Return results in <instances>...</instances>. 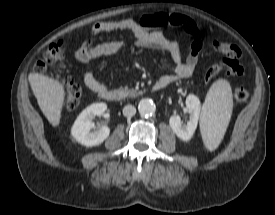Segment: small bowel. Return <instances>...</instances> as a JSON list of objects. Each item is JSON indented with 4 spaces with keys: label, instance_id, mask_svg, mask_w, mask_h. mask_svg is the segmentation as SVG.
<instances>
[{
    "label": "small bowel",
    "instance_id": "small-bowel-1",
    "mask_svg": "<svg viewBox=\"0 0 275 215\" xmlns=\"http://www.w3.org/2000/svg\"><path fill=\"white\" fill-rule=\"evenodd\" d=\"M166 15L162 13L146 14L139 18L123 19L119 21H102L95 23L90 29V36L103 32L112 31H131L134 35V44L139 48L161 50L170 55L175 67L173 74H167L160 79H165L170 83L178 79L190 77L198 63L200 51L202 49V38L198 28L195 25V32L190 33V54L184 60L181 54V49L174 40L169 39L156 28L166 25ZM125 43L121 40L109 41L100 44H95L92 40L78 47L74 54L75 57L82 63L88 64L91 61L106 55H112L122 51ZM85 86L95 93H99L107 87L102 84L90 69H86L83 74Z\"/></svg>",
    "mask_w": 275,
    "mask_h": 215
}]
</instances>
